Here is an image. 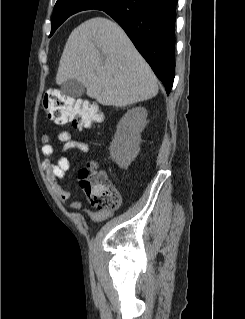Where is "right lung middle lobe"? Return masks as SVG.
I'll use <instances>...</instances> for the list:
<instances>
[{
	"label": "right lung middle lobe",
	"instance_id": "1",
	"mask_svg": "<svg viewBox=\"0 0 245 319\" xmlns=\"http://www.w3.org/2000/svg\"><path fill=\"white\" fill-rule=\"evenodd\" d=\"M122 0H83L80 3L82 10L87 9H105L110 8ZM73 2L67 0H59L56 2L52 18V30L50 36L55 30L69 17L71 16V7Z\"/></svg>",
	"mask_w": 245,
	"mask_h": 319
}]
</instances>
